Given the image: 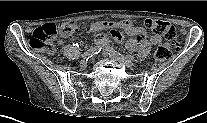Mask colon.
Listing matches in <instances>:
<instances>
[{
  "label": "colon",
  "instance_id": "1",
  "mask_svg": "<svg viewBox=\"0 0 207 123\" xmlns=\"http://www.w3.org/2000/svg\"><path fill=\"white\" fill-rule=\"evenodd\" d=\"M145 25L152 32L162 35L165 38V44L155 50L150 60L151 65L155 66L165 61L172 51L179 48L181 37L176 33L174 27L166 21L147 19L145 20ZM77 31L78 26L75 23H65L61 26L46 24L33 31L29 39V44L34 49L52 53L54 52L52 41L59 33L70 37L76 34Z\"/></svg>",
  "mask_w": 207,
  "mask_h": 123
}]
</instances>
